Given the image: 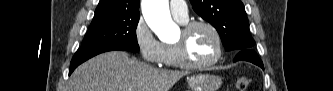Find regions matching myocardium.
<instances>
[{"mask_svg":"<svg viewBox=\"0 0 333 91\" xmlns=\"http://www.w3.org/2000/svg\"><path fill=\"white\" fill-rule=\"evenodd\" d=\"M197 27L207 28L214 36L216 41V54L215 56L205 62L197 63L190 60L187 52L186 37ZM183 38L174 44L176 49V57L178 64L182 67L189 69H205L215 65L223 55V40L219 30L210 22L205 20H192L185 22L182 28Z\"/></svg>","mask_w":333,"mask_h":91,"instance_id":"obj_1","label":"myocardium"}]
</instances>
